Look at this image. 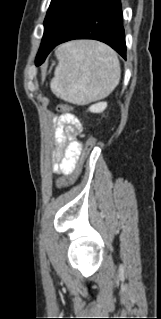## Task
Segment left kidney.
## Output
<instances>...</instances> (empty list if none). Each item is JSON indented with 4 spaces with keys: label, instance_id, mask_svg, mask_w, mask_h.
<instances>
[{
    "label": "left kidney",
    "instance_id": "5707ae66",
    "mask_svg": "<svg viewBox=\"0 0 161 319\" xmlns=\"http://www.w3.org/2000/svg\"><path fill=\"white\" fill-rule=\"evenodd\" d=\"M107 108L106 102H99L96 104H93L89 107V111L92 113H101Z\"/></svg>",
    "mask_w": 161,
    "mask_h": 319
}]
</instances>
